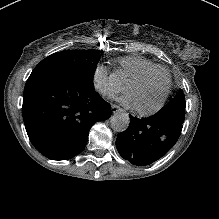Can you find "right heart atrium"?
I'll return each mask as SVG.
<instances>
[{
	"label": "right heart atrium",
	"instance_id": "right-heart-atrium-1",
	"mask_svg": "<svg viewBox=\"0 0 219 219\" xmlns=\"http://www.w3.org/2000/svg\"><path fill=\"white\" fill-rule=\"evenodd\" d=\"M94 83L107 96H114L123 88L119 77L115 73H111L105 65H98L95 68Z\"/></svg>",
	"mask_w": 219,
	"mask_h": 219
}]
</instances>
